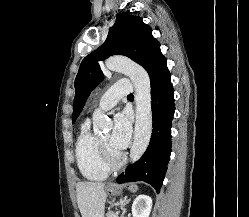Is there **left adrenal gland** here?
Segmentation results:
<instances>
[{
    "mask_svg": "<svg viewBox=\"0 0 249 217\" xmlns=\"http://www.w3.org/2000/svg\"><path fill=\"white\" fill-rule=\"evenodd\" d=\"M129 201L130 199H128L127 197H125L124 200L121 201V210H122L121 217H124V214L126 213L125 206L128 204Z\"/></svg>",
    "mask_w": 249,
    "mask_h": 217,
    "instance_id": "1",
    "label": "left adrenal gland"
}]
</instances>
